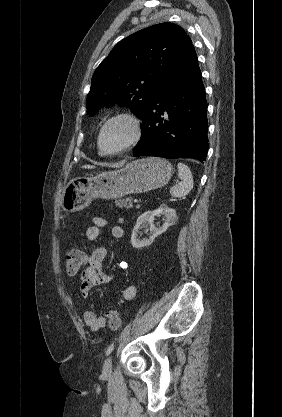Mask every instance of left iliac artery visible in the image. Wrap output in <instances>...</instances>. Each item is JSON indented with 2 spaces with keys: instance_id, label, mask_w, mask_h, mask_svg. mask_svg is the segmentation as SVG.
I'll use <instances>...</instances> for the list:
<instances>
[{
  "instance_id": "obj_1",
  "label": "left iliac artery",
  "mask_w": 282,
  "mask_h": 417,
  "mask_svg": "<svg viewBox=\"0 0 282 417\" xmlns=\"http://www.w3.org/2000/svg\"><path fill=\"white\" fill-rule=\"evenodd\" d=\"M114 349V345L111 344L110 346H108L107 350H106V355H109Z\"/></svg>"
}]
</instances>
